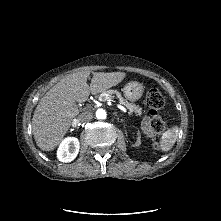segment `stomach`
Listing matches in <instances>:
<instances>
[{"mask_svg":"<svg viewBox=\"0 0 221 221\" xmlns=\"http://www.w3.org/2000/svg\"><path fill=\"white\" fill-rule=\"evenodd\" d=\"M143 91V85L137 81H130L123 88L124 96L130 101L140 99L143 95Z\"/></svg>","mask_w":221,"mask_h":221,"instance_id":"obj_1","label":"stomach"}]
</instances>
